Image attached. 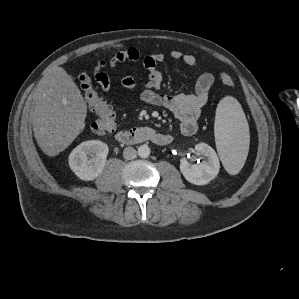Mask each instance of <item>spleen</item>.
I'll return each instance as SVG.
<instances>
[{
    "mask_svg": "<svg viewBox=\"0 0 299 299\" xmlns=\"http://www.w3.org/2000/svg\"><path fill=\"white\" fill-rule=\"evenodd\" d=\"M215 142L226 171L235 175L242 169L249 149V127L240 103L224 97L216 109Z\"/></svg>",
    "mask_w": 299,
    "mask_h": 299,
    "instance_id": "1",
    "label": "spleen"
}]
</instances>
